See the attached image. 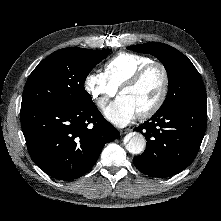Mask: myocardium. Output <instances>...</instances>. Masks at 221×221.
Listing matches in <instances>:
<instances>
[{"label":"myocardium","instance_id":"f54148a6","mask_svg":"<svg viewBox=\"0 0 221 221\" xmlns=\"http://www.w3.org/2000/svg\"><path fill=\"white\" fill-rule=\"evenodd\" d=\"M155 67L159 68L163 74L162 90L158 99L154 102V104H152L146 110L138 113V117L141 119H146V118L153 116L155 113H157L160 110V108L165 103L168 93H169V89H170V74H169L167 67L161 62L152 61L142 66L141 68H139L119 88V94H121L125 89L131 88L137 85L141 81V79L146 75V73Z\"/></svg>","mask_w":221,"mask_h":221}]
</instances>
